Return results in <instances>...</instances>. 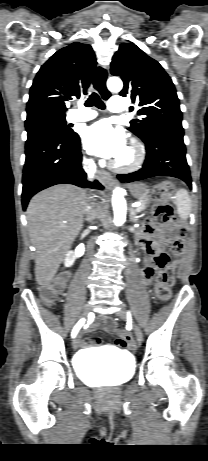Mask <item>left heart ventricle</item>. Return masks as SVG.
Segmentation results:
<instances>
[{"label":"left heart ventricle","mask_w":208,"mask_h":461,"mask_svg":"<svg viewBox=\"0 0 208 461\" xmlns=\"http://www.w3.org/2000/svg\"><path fill=\"white\" fill-rule=\"evenodd\" d=\"M130 159H131V152L129 148L126 146L124 152L119 158H117V160L120 162H128Z\"/></svg>","instance_id":"left-heart-ventricle-1"}]
</instances>
